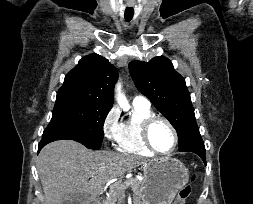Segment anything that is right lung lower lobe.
Segmentation results:
<instances>
[{"label":"right lung lower lobe","instance_id":"obj_1","mask_svg":"<svg viewBox=\"0 0 253 204\" xmlns=\"http://www.w3.org/2000/svg\"><path fill=\"white\" fill-rule=\"evenodd\" d=\"M49 142H52L51 140H41V142L39 143V146H38V152L41 150V148L43 147V146H45L47 143H49Z\"/></svg>","mask_w":253,"mask_h":204}]
</instances>
